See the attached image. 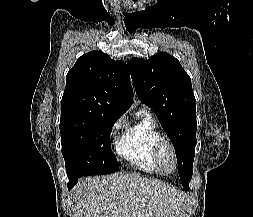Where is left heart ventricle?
Segmentation results:
<instances>
[{"label":"left heart ventricle","mask_w":253,"mask_h":217,"mask_svg":"<svg viewBox=\"0 0 253 217\" xmlns=\"http://www.w3.org/2000/svg\"><path fill=\"white\" fill-rule=\"evenodd\" d=\"M164 164L166 169L170 170L172 168V160L168 153L164 154Z\"/></svg>","instance_id":"left-heart-ventricle-1"}]
</instances>
